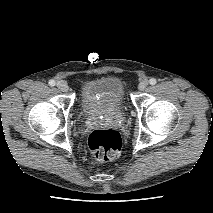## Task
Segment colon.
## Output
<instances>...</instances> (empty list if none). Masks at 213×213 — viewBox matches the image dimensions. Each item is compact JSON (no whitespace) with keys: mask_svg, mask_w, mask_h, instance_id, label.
Listing matches in <instances>:
<instances>
[{"mask_svg":"<svg viewBox=\"0 0 213 213\" xmlns=\"http://www.w3.org/2000/svg\"><path fill=\"white\" fill-rule=\"evenodd\" d=\"M88 146L94 160H113L120 153L122 147L121 136L113 129H97L89 135Z\"/></svg>","mask_w":213,"mask_h":213,"instance_id":"obj_1","label":"colon"}]
</instances>
